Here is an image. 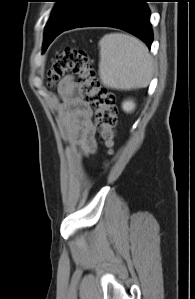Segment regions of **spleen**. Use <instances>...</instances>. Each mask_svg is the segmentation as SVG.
<instances>
[{
    "label": "spleen",
    "mask_w": 195,
    "mask_h": 299,
    "mask_svg": "<svg viewBox=\"0 0 195 299\" xmlns=\"http://www.w3.org/2000/svg\"><path fill=\"white\" fill-rule=\"evenodd\" d=\"M99 76L105 87L130 90L147 87L152 79L153 61L139 39L110 33L99 41Z\"/></svg>",
    "instance_id": "3e777b00"
}]
</instances>
